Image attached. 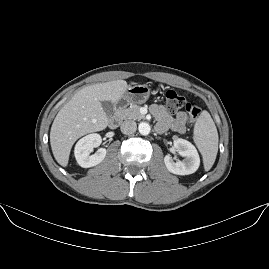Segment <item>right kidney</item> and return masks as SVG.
Wrapping results in <instances>:
<instances>
[{
    "label": "right kidney",
    "mask_w": 269,
    "mask_h": 269,
    "mask_svg": "<svg viewBox=\"0 0 269 269\" xmlns=\"http://www.w3.org/2000/svg\"><path fill=\"white\" fill-rule=\"evenodd\" d=\"M100 135L97 133L88 134L80 138L74 147V155L79 166L83 168L91 167L101 162L106 155L104 148H99L95 154L91 155L94 147L99 146Z\"/></svg>",
    "instance_id": "right-kidney-1"
}]
</instances>
